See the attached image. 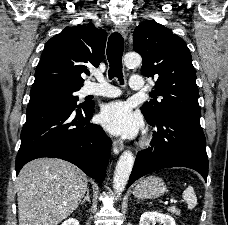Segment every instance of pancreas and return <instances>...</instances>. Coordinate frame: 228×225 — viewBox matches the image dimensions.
I'll return each instance as SVG.
<instances>
[{"instance_id": "cf45deb5", "label": "pancreas", "mask_w": 228, "mask_h": 225, "mask_svg": "<svg viewBox=\"0 0 228 225\" xmlns=\"http://www.w3.org/2000/svg\"><path fill=\"white\" fill-rule=\"evenodd\" d=\"M168 213H172V215H178V217H180V209H175V207H170V209H168Z\"/></svg>"}]
</instances>
